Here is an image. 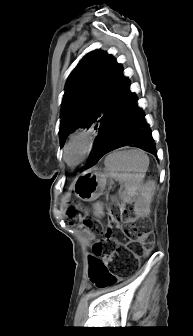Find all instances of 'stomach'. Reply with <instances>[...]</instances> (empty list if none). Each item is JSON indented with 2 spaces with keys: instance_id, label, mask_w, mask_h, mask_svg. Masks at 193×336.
Segmentation results:
<instances>
[{
  "instance_id": "0dacf381",
  "label": "stomach",
  "mask_w": 193,
  "mask_h": 336,
  "mask_svg": "<svg viewBox=\"0 0 193 336\" xmlns=\"http://www.w3.org/2000/svg\"><path fill=\"white\" fill-rule=\"evenodd\" d=\"M108 175L98 170H88L80 174L74 183V191L83 201L97 199L105 189Z\"/></svg>"
}]
</instances>
